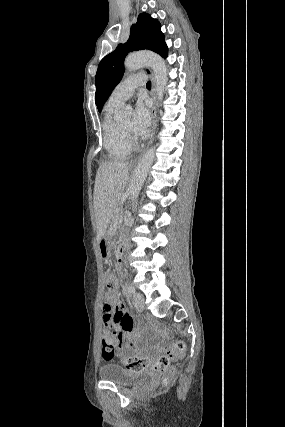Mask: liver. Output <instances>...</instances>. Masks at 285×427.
<instances>
[{
    "label": "liver",
    "mask_w": 285,
    "mask_h": 427,
    "mask_svg": "<svg viewBox=\"0 0 285 427\" xmlns=\"http://www.w3.org/2000/svg\"><path fill=\"white\" fill-rule=\"evenodd\" d=\"M127 162H105L98 168L94 185V212L97 234L101 238L118 207L129 180Z\"/></svg>",
    "instance_id": "1"
}]
</instances>
